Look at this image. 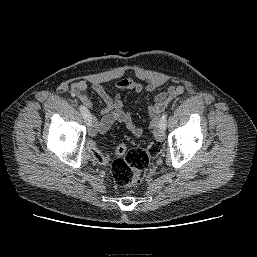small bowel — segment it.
<instances>
[{
    "label": "small bowel",
    "instance_id": "1",
    "mask_svg": "<svg viewBox=\"0 0 257 257\" xmlns=\"http://www.w3.org/2000/svg\"><path fill=\"white\" fill-rule=\"evenodd\" d=\"M163 84L160 79L150 81L147 85H143L132 78H122L115 84L117 93L111 95L105 87L99 83L88 84L86 81H77L71 85V93L78 97L83 106L87 109H93V103L86 94L88 89L94 91L105 103V108L101 111L100 119L94 118L95 131L99 133L106 132L112 124L121 123L136 137H140L143 133L142 129L133 121L130 113L124 109L121 99V93L126 91L142 92L155 91ZM183 92V86L175 84L167 90L156 95L152 105L148 107V113L152 118V128L155 127L160 113L166 106L177 96ZM102 162H105L102 161Z\"/></svg>",
    "mask_w": 257,
    "mask_h": 257
}]
</instances>
